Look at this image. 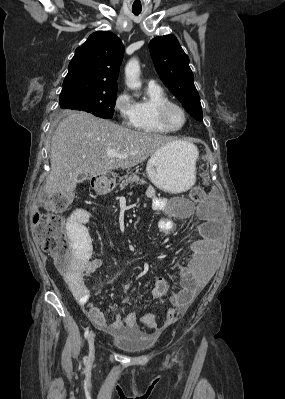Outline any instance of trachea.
I'll return each instance as SVG.
<instances>
[{"mask_svg": "<svg viewBox=\"0 0 285 399\" xmlns=\"http://www.w3.org/2000/svg\"><path fill=\"white\" fill-rule=\"evenodd\" d=\"M141 13V10H133L134 15H139Z\"/></svg>", "mask_w": 285, "mask_h": 399, "instance_id": "obj_1", "label": "trachea"}]
</instances>
